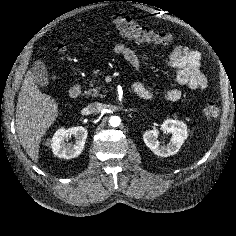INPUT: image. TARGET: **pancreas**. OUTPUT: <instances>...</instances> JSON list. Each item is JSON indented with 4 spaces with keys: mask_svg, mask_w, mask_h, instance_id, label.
Wrapping results in <instances>:
<instances>
[{
    "mask_svg": "<svg viewBox=\"0 0 236 236\" xmlns=\"http://www.w3.org/2000/svg\"><path fill=\"white\" fill-rule=\"evenodd\" d=\"M98 72L99 71L95 72V74L89 84L91 88L88 89L85 92V94L88 96L91 95L92 97H101L102 98L104 95L101 94V92L106 93V91L102 89L103 85H99L102 82L101 79H98V80L96 79L98 77Z\"/></svg>",
    "mask_w": 236,
    "mask_h": 236,
    "instance_id": "pancreas-1",
    "label": "pancreas"
}]
</instances>
